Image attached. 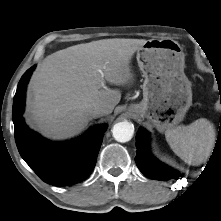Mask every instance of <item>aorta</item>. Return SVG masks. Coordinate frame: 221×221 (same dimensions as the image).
I'll use <instances>...</instances> for the list:
<instances>
[{
  "label": "aorta",
  "instance_id": "1",
  "mask_svg": "<svg viewBox=\"0 0 221 221\" xmlns=\"http://www.w3.org/2000/svg\"><path fill=\"white\" fill-rule=\"evenodd\" d=\"M134 127L128 121L116 123L112 128V135L116 141L125 143L132 139Z\"/></svg>",
  "mask_w": 221,
  "mask_h": 221
}]
</instances>
